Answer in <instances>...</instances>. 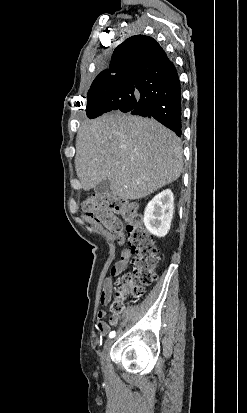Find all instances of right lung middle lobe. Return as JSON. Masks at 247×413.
<instances>
[{
  "instance_id": "obj_1",
  "label": "right lung middle lobe",
  "mask_w": 247,
  "mask_h": 413,
  "mask_svg": "<svg viewBox=\"0 0 247 413\" xmlns=\"http://www.w3.org/2000/svg\"><path fill=\"white\" fill-rule=\"evenodd\" d=\"M130 92L125 81L108 82L94 80L87 95L86 112H91L100 103L111 96H124Z\"/></svg>"
}]
</instances>
